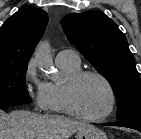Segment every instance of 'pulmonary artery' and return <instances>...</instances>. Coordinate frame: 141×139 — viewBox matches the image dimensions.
Masks as SVG:
<instances>
[{
  "label": "pulmonary artery",
  "mask_w": 141,
  "mask_h": 139,
  "mask_svg": "<svg viewBox=\"0 0 141 139\" xmlns=\"http://www.w3.org/2000/svg\"><path fill=\"white\" fill-rule=\"evenodd\" d=\"M80 58L76 51L65 49L61 50L56 55V63H79Z\"/></svg>",
  "instance_id": "1"
}]
</instances>
